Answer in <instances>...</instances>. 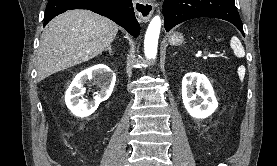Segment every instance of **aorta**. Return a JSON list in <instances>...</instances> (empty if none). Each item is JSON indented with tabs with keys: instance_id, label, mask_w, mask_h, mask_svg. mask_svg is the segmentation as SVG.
Here are the masks:
<instances>
[{
	"instance_id": "762f6f07",
	"label": "aorta",
	"mask_w": 277,
	"mask_h": 166,
	"mask_svg": "<svg viewBox=\"0 0 277 166\" xmlns=\"http://www.w3.org/2000/svg\"><path fill=\"white\" fill-rule=\"evenodd\" d=\"M161 29V19L155 16L148 26L144 40V52L147 59H155L157 55L158 39Z\"/></svg>"
}]
</instances>
